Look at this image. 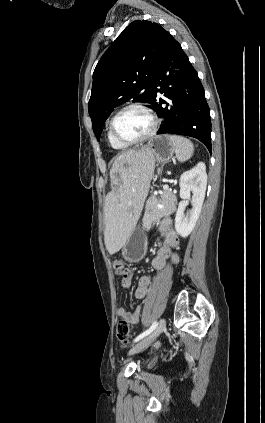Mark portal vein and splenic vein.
Wrapping results in <instances>:
<instances>
[{"mask_svg": "<svg viewBox=\"0 0 265 423\" xmlns=\"http://www.w3.org/2000/svg\"><path fill=\"white\" fill-rule=\"evenodd\" d=\"M163 189H164V190H168V189H169V186H168L167 184H165V185L163 186Z\"/></svg>", "mask_w": 265, "mask_h": 423, "instance_id": "obj_1", "label": "portal vein and splenic vein"}]
</instances>
